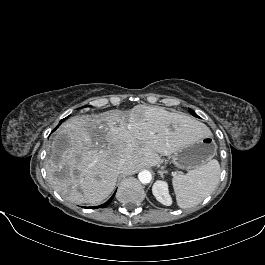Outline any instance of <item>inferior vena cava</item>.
<instances>
[{
    "label": "inferior vena cava",
    "instance_id": "602c4592",
    "mask_svg": "<svg viewBox=\"0 0 265 265\" xmlns=\"http://www.w3.org/2000/svg\"><path fill=\"white\" fill-rule=\"evenodd\" d=\"M125 169H126V162H125L124 160H121V161L119 162V171H120L121 173H123V172L125 171Z\"/></svg>",
    "mask_w": 265,
    "mask_h": 265
}]
</instances>
